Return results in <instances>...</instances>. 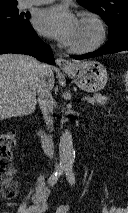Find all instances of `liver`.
<instances>
[{
	"label": "liver",
	"instance_id": "obj_1",
	"mask_svg": "<svg viewBox=\"0 0 128 213\" xmlns=\"http://www.w3.org/2000/svg\"><path fill=\"white\" fill-rule=\"evenodd\" d=\"M40 63L29 56L0 55V120L29 115L36 107ZM47 82L54 86L50 67Z\"/></svg>",
	"mask_w": 128,
	"mask_h": 213
}]
</instances>
